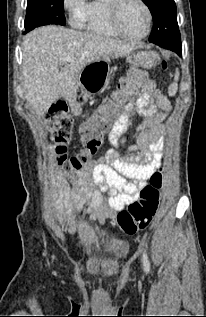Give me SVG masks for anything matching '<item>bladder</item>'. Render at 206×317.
I'll return each instance as SVG.
<instances>
[{"instance_id":"1","label":"bladder","mask_w":206,"mask_h":317,"mask_svg":"<svg viewBox=\"0 0 206 317\" xmlns=\"http://www.w3.org/2000/svg\"><path fill=\"white\" fill-rule=\"evenodd\" d=\"M81 250L85 255L98 254L103 262H112L125 257L129 245L107 231H98L83 241Z\"/></svg>"}]
</instances>
